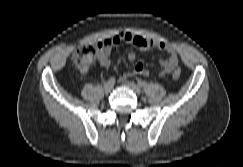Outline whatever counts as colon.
I'll use <instances>...</instances> for the list:
<instances>
[{
    "mask_svg": "<svg viewBox=\"0 0 243 167\" xmlns=\"http://www.w3.org/2000/svg\"><path fill=\"white\" fill-rule=\"evenodd\" d=\"M101 46L102 43H88L77 48L72 55L73 65L78 70L84 71L90 65L96 51L100 49ZM172 76L174 79H178L181 76V71L176 69Z\"/></svg>",
    "mask_w": 243,
    "mask_h": 167,
    "instance_id": "obj_1",
    "label": "colon"
}]
</instances>
